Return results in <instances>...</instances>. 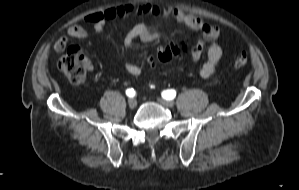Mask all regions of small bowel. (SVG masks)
<instances>
[{
	"label": "small bowel",
	"instance_id": "obj_1",
	"mask_svg": "<svg viewBox=\"0 0 299 190\" xmlns=\"http://www.w3.org/2000/svg\"><path fill=\"white\" fill-rule=\"evenodd\" d=\"M129 15H148L154 18L171 17L178 23L197 32V41L192 47L190 53V58L193 63H197L201 59L205 47V41L215 40L220 36V29L217 25L209 23L201 17L187 14L182 10L169 5L162 9L154 4H132L127 6L110 7L102 11L89 13L85 16L84 21L91 24L97 33L104 35L108 22L123 19ZM159 34L160 32L149 24L144 22L139 23L135 25L125 36L123 40V49H130L136 39L150 40L158 37ZM87 35V30L84 27L78 25L71 26L68 28L66 35L55 42L54 50L56 52H62L66 49L70 38L83 39L87 37ZM225 53L226 49L224 46L216 42L211 43L208 47L207 59L200 68L201 77H211L222 62ZM124 66L127 72L131 75L138 76L142 74V68L130 61L125 60ZM87 67L88 69L93 68L90 62L87 63Z\"/></svg>",
	"mask_w": 299,
	"mask_h": 190
}]
</instances>
